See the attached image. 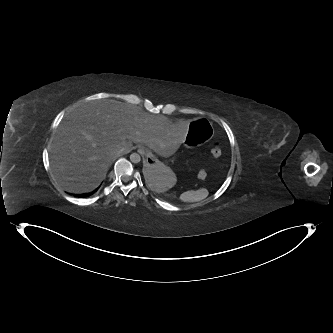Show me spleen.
I'll use <instances>...</instances> for the list:
<instances>
[{"mask_svg": "<svg viewBox=\"0 0 333 333\" xmlns=\"http://www.w3.org/2000/svg\"><path fill=\"white\" fill-rule=\"evenodd\" d=\"M167 197L172 198L174 200H182V201H200L208 196V191L206 190H198V191H187L184 194L180 195L174 192H167Z\"/></svg>", "mask_w": 333, "mask_h": 333, "instance_id": "1", "label": "spleen"}]
</instances>
